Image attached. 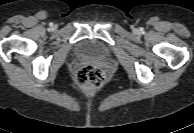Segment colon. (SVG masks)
Instances as JSON below:
<instances>
[{
  "label": "colon",
  "instance_id": "colon-1",
  "mask_svg": "<svg viewBox=\"0 0 194 133\" xmlns=\"http://www.w3.org/2000/svg\"><path fill=\"white\" fill-rule=\"evenodd\" d=\"M104 70L96 65H85L75 73V82L84 91H93L100 88L105 82Z\"/></svg>",
  "mask_w": 194,
  "mask_h": 133
}]
</instances>
